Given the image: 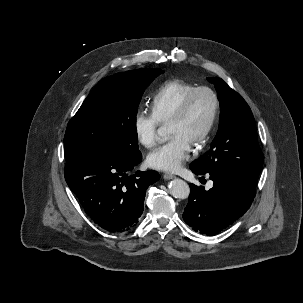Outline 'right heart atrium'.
I'll return each mask as SVG.
<instances>
[{
    "label": "right heart atrium",
    "instance_id": "right-heart-atrium-1",
    "mask_svg": "<svg viewBox=\"0 0 303 303\" xmlns=\"http://www.w3.org/2000/svg\"><path fill=\"white\" fill-rule=\"evenodd\" d=\"M159 122L152 113L138 111L133 119V129L138 141L147 148L154 146L157 140Z\"/></svg>",
    "mask_w": 303,
    "mask_h": 303
}]
</instances>
